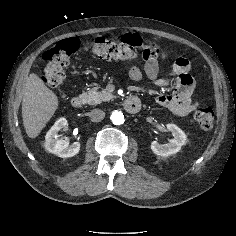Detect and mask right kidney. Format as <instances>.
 Wrapping results in <instances>:
<instances>
[{"label": "right kidney", "instance_id": "obj_1", "mask_svg": "<svg viewBox=\"0 0 236 236\" xmlns=\"http://www.w3.org/2000/svg\"><path fill=\"white\" fill-rule=\"evenodd\" d=\"M67 125L65 118L58 119L45 137V148L61 158H69L77 155L80 150V143L74 142L69 146V142L63 139H57V133Z\"/></svg>", "mask_w": 236, "mask_h": 236}]
</instances>
